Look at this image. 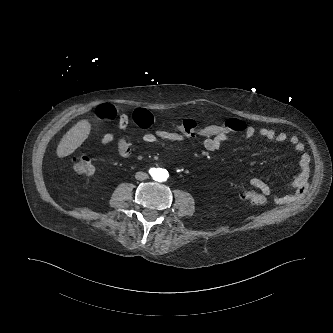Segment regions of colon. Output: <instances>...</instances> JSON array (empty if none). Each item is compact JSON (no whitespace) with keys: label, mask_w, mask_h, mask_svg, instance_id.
I'll return each instance as SVG.
<instances>
[{"label":"colon","mask_w":333,"mask_h":333,"mask_svg":"<svg viewBox=\"0 0 333 333\" xmlns=\"http://www.w3.org/2000/svg\"><path fill=\"white\" fill-rule=\"evenodd\" d=\"M96 115L101 121L112 120L117 116V110L113 105L104 104L97 108ZM171 125L180 133L188 137H229L230 135L242 132L246 129V123L237 118H231L219 124L200 125L191 119H185L181 122H170ZM71 168L79 174L90 175L95 171L92 160L88 156H74L71 159ZM244 199L250 203L263 206L267 202L265 195L248 190L243 193Z\"/></svg>","instance_id":"5ec220e1"}]
</instances>
